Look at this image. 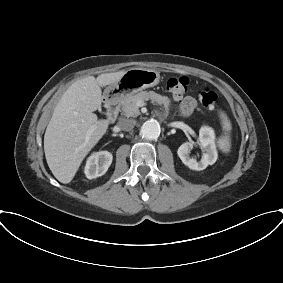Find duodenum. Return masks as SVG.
<instances>
[{
  "label": "duodenum",
  "instance_id": "obj_1",
  "mask_svg": "<svg viewBox=\"0 0 283 283\" xmlns=\"http://www.w3.org/2000/svg\"><path fill=\"white\" fill-rule=\"evenodd\" d=\"M105 104L107 106V118L109 121H114L119 113V96L118 95H110Z\"/></svg>",
  "mask_w": 283,
  "mask_h": 283
}]
</instances>
